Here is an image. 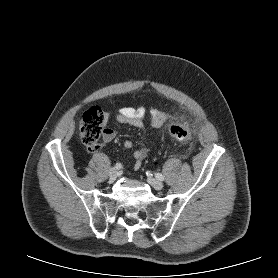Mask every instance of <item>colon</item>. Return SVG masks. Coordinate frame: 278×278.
<instances>
[{
	"label": "colon",
	"mask_w": 278,
	"mask_h": 278,
	"mask_svg": "<svg viewBox=\"0 0 278 278\" xmlns=\"http://www.w3.org/2000/svg\"><path fill=\"white\" fill-rule=\"evenodd\" d=\"M105 116L101 108L92 107L87 110L79 124V131L84 145L93 150L98 147L99 139L103 134ZM169 134L179 141L186 150L192 146L191 128L186 123H176L169 127Z\"/></svg>",
	"instance_id": "obj_1"
}]
</instances>
